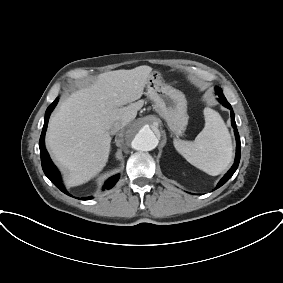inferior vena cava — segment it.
I'll list each match as a JSON object with an SVG mask.
<instances>
[{
    "mask_svg": "<svg viewBox=\"0 0 283 283\" xmlns=\"http://www.w3.org/2000/svg\"><path fill=\"white\" fill-rule=\"evenodd\" d=\"M124 123L117 121L110 127V134L114 135L116 134L120 129L124 127Z\"/></svg>",
    "mask_w": 283,
    "mask_h": 283,
    "instance_id": "602c4592",
    "label": "inferior vena cava"
}]
</instances>
